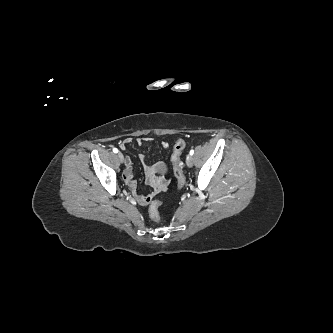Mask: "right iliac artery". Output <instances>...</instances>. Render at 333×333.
Masks as SVG:
<instances>
[{
	"instance_id": "1",
	"label": "right iliac artery",
	"mask_w": 333,
	"mask_h": 333,
	"mask_svg": "<svg viewBox=\"0 0 333 333\" xmlns=\"http://www.w3.org/2000/svg\"><path fill=\"white\" fill-rule=\"evenodd\" d=\"M113 152H114V153H117V152H118V149H117V148H113Z\"/></svg>"
}]
</instances>
